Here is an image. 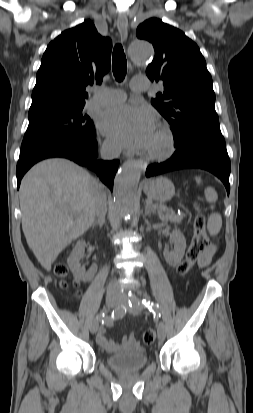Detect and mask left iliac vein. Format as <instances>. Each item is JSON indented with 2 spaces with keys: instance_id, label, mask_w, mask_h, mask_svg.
<instances>
[{
  "instance_id": "left-iliac-vein-1",
  "label": "left iliac vein",
  "mask_w": 253,
  "mask_h": 413,
  "mask_svg": "<svg viewBox=\"0 0 253 413\" xmlns=\"http://www.w3.org/2000/svg\"><path fill=\"white\" fill-rule=\"evenodd\" d=\"M119 303L123 304L124 306H126L128 308V311L133 314V315H137L139 314L140 310L142 307H138V308H131L128 306V297L125 294H121L120 298H119ZM157 334H158V339L160 341L165 339L166 336V327L164 325L163 322H160L158 327H157Z\"/></svg>"
}]
</instances>
